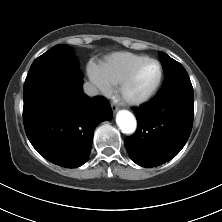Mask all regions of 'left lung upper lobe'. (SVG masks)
<instances>
[{
  "label": "left lung upper lobe",
  "instance_id": "obj_1",
  "mask_svg": "<svg viewBox=\"0 0 222 222\" xmlns=\"http://www.w3.org/2000/svg\"><path fill=\"white\" fill-rule=\"evenodd\" d=\"M160 60L163 65L165 80L163 87L170 85L191 84L190 78L184 67L170 58L166 53L159 52Z\"/></svg>",
  "mask_w": 222,
  "mask_h": 222
}]
</instances>
